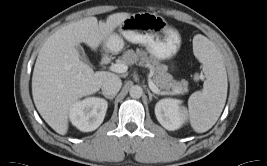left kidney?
<instances>
[{"instance_id":"left-kidney-1","label":"left kidney","mask_w":267,"mask_h":166,"mask_svg":"<svg viewBox=\"0 0 267 166\" xmlns=\"http://www.w3.org/2000/svg\"><path fill=\"white\" fill-rule=\"evenodd\" d=\"M155 115L159 123L167 130H177L183 123L179 101L166 98L157 102Z\"/></svg>"}]
</instances>
